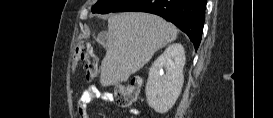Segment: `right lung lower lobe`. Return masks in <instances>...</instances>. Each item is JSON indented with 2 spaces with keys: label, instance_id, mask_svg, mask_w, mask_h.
Listing matches in <instances>:
<instances>
[{
  "label": "right lung lower lobe",
  "instance_id": "1",
  "mask_svg": "<svg viewBox=\"0 0 273 118\" xmlns=\"http://www.w3.org/2000/svg\"><path fill=\"white\" fill-rule=\"evenodd\" d=\"M206 0H126L114 12H148L185 32L197 50L201 41Z\"/></svg>",
  "mask_w": 273,
  "mask_h": 118
}]
</instances>
